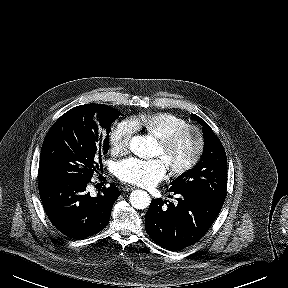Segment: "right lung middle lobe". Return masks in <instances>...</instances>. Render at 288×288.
Returning <instances> with one entry per match:
<instances>
[{"mask_svg": "<svg viewBox=\"0 0 288 288\" xmlns=\"http://www.w3.org/2000/svg\"><path fill=\"white\" fill-rule=\"evenodd\" d=\"M121 115L104 104H86L63 114L47 133L40 154V181L89 182L102 168L112 123Z\"/></svg>", "mask_w": 288, "mask_h": 288, "instance_id": "obj_1", "label": "right lung middle lobe"}]
</instances>
